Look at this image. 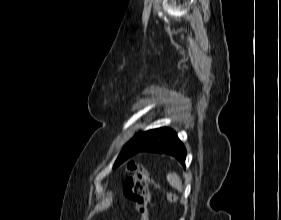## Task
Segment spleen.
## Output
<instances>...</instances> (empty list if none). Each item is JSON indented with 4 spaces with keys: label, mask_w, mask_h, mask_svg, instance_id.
Returning <instances> with one entry per match:
<instances>
[{
    "label": "spleen",
    "mask_w": 281,
    "mask_h": 220,
    "mask_svg": "<svg viewBox=\"0 0 281 220\" xmlns=\"http://www.w3.org/2000/svg\"><path fill=\"white\" fill-rule=\"evenodd\" d=\"M167 180L172 187H174L180 192L183 191L182 181L175 172L169 173L167 175Z\"/></svg>",
    "instance_id": "1"
}]
</instances>
